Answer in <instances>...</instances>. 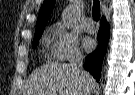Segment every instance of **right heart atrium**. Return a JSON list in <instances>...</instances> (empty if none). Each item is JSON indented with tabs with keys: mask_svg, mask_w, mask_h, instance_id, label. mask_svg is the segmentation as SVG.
Segmentation results:
<instances>
[{
	"mask_svg": "<svg viewBox=\"0 0 135 95\" xmlns=\"http://www.w3.org/2000/svg\"><path fill=\"white\" fill-rule=\"evenodd\" d=\"M51 57L56 61H65L81 56L76 37L60 23L50 28Z\"/></svg>",
	"mask_w": 135,
	"mask_h": 95,
	"instance_id": "obj_1",
	"label": "right heart atrium"
}]
</instances>
